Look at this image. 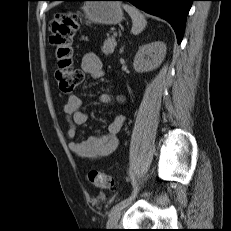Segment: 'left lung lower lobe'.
<instances>
[{
  "label": "left lung lower lobe",
  "instance_id": "1",
  "mask_svg": "<svg viewBox=\"0 0 231 231\" xmlns=\"http://www.w3.org/2000/svg\"><path fill=\"white\" fill-rule=\"evenodd\" d=\"M54 1V0H53ZM128 1L139 9L161 17L173 27L178 43L182 41L187 14L194 0H118Z\"/></svg>",
  "mask_w": 231,
  "mask_h": 231
}]
</instances>
